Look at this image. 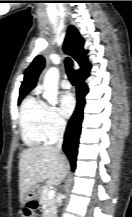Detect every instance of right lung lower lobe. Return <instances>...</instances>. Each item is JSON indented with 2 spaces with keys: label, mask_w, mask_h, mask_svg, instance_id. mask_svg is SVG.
<instances>
[{
  "label": "right lung lower lobe",
  "mask_w": 132,
  "mask_h": 217,
  "mask_svg": "<svg viewBox=\"0 0 132 217\" xmlns=\"http://www.w3.org/2000/svg\"><path fill=\"white\" fill-rule=\"evenodd\" d=\"M84 80L85 79L77 80L78 102L76 110L68 123L64 136L63 150L70 160L72 170L75 169L76 164L79 135L81 132V122L83 119V107L85 104L84 96L88 92V87L84 83Z\"/></svg>",
  "instance_id": "obj_1"
}]
</instances>
